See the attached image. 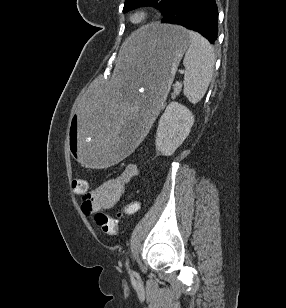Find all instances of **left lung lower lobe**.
Wrapping results in <instances>:
<instances>
[{
    "mask_svg": "<svg viewBox=\"0 0 286 308\" xmlns=\"http://www.w3.org/2000/svg\"><path fill=\"white\" fill-rule=\"evenodd\" d=\"M161 22L197 31L210 43L217 40L218 10L215 0H172Z\"/></svg>",
    "mask_w": 286,
    "mask_h": 308,
    "instance_id": "0a47b994",
    "label": "left lung lower lobe"
}]
</instances>
